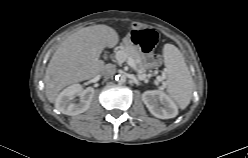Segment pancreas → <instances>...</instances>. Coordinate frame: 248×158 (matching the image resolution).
Segmentation results:
<instances>
[{"instance_id":"cf45deb5","label":"pancreas","mask_w":248,"mask_h":158,"mask_svg":"<svg viewBox=\"0 0 248 158\" xmlns=\"http://www.w3.org/2000/svg\"><path fill=\"white\" fill-rule=\"evenodd\" d=\"M119 51L125 54L126 58H132L135 61L136 71L139 77H142L143 75H145V72L148 67H147V63L145 61L144 55L142 54L138 46L127 44V45L122 46ZM116 59L119 63L123 62L122 59L117 58V54H116ZM160 77H161V80L165 79L164 75Z\"/></svg>"}]
</instances>
